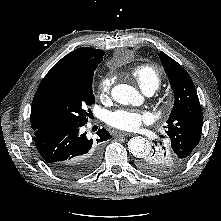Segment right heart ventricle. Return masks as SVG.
I'll return each mask as SVG.
<instances>
[{
  "instance_id": "e07e8e85",
  "label": "right heart ventricle",
  "mask_w": 221,
  "mask_h": 221,
  "mask_svg": "<svg viewBox=\"0 0 221 221\" xmlns=\"http://www.w3.org/2000/svg\"><path fill=\"white\" fill-rule=\"evenodd\" d=\"M131 73L143 91L147 89L155 91L161 84V74L152 65H138L132 69Z\"/></svg>"
}]
</instances>
